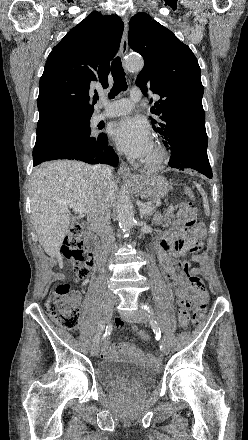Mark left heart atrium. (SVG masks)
I'll return each instance as SVG.
<instances>
[{
  "instance_id": "left-heart-atrium-1",
  "label": "left heart atrium",
  "mask_w": 248,
  "mask_h": 440,
  "mask_svg": "<svg viewBox=\"0 0 248 440\" xmlns=\"http://www.w3.org/2000/svg\"><path fill=\"white\" fill-rule=\"evenodd\" d=\"M111 137L119 149L135 159H145L152 149L150 132L139 118L125 117L111 127Z\"/></svg>"
}]
</instances>
